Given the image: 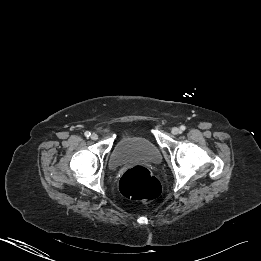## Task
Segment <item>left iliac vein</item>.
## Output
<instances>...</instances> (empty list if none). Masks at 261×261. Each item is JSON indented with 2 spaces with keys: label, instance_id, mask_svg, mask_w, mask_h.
<instances>
[{
  "label": "left iliac vein",
  "instance_id": "obj_1",
  "mask_svg": "<svg viewBox=\"0 0 261 261\" xmlns=\"http://www.w3.org/2000/svg\"><path fill=\"white\" fill-rule=\"evenodd\" d=\"M172 134H174V135H177V134H179L180 133V129L179 128H177V127H174V128H172Z\"/></svg>",
  "mask_w": 261,
  "mask_h": 261
}]
</instances>
